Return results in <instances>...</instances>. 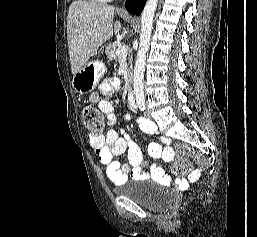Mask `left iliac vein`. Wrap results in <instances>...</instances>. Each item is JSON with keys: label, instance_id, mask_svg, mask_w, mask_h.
<instances>
[{"label": "left iliac vein", "instance_id": "1", "mask_svg": "<svg viewBox=\"0 0 257 237\" xmlns=\"http://www.w3.org/2000/svg\"><path fill=\"white\" fill-rule=\"evenodd\" d=\"M145 115H146V117H147L148 119H150V118H151L149 109H147V110H146Z\"/></svg>", "mask_w": 257, "mask_h": 237}]
</instances>
